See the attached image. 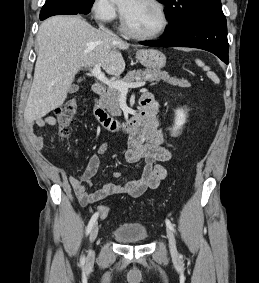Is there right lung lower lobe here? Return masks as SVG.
Instances as JSON below:
<instances>
[{
  "label": "right lung lower lobe",
  "instance_id": "right-lung-lower-lobe-1",
  "mask_svg": "<svg viewBox=\"0 0 259 283\" xmlns=\"http://www.w3.org/2000/svg\"><path fill=\"white\" fill-rule=\"evenodd\" d=\"M91 6L86 0H46L40 12V20L60 14H84L90 12Z\"/></svg>",
  "mask_w": 259,
  "mask_h": 283
}]
</instances>
